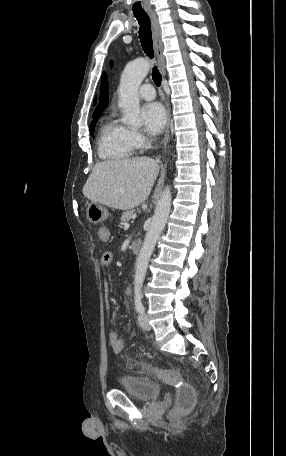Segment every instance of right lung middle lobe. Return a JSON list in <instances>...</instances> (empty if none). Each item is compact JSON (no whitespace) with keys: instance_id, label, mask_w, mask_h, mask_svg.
I'll list each match as a JSON object with an SVG mask.
<instances>
[{"instance_id":"obj_1","label":"right lung middle lobe","mask_w":286,"mask_h":456,"mask_svg":"<svg viewBox=\"0 0 286 456\" xmlns=\"http://www.w3.org/2000/svg\"><path fill=\"white\" fill-rule=\"evenodd\" d=\"M97 120H98V119L93 120L92 123H91V125H90V128H89V129H90L91 135H93V131H94L95 124H96Z\"/></svg>"}]
</instances>
